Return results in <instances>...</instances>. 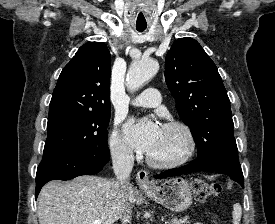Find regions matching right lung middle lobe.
<instances>
[{
  "mask_svg": "<svg viewBox=\"0 0 275 224\" xmlns=\"http://www.w3.org/2000/svg\"><path fill=\"white\" fill-rule=\"evenodd\" d=\"M110 113L65 111L49 115L43 157L108 146Z\"/></svg>",
  "mask_w": 275,
  "mask_h": 224,
  "instance_id": "obj_1",
  "label": "right lung middle lobe"
}]
</instances>
